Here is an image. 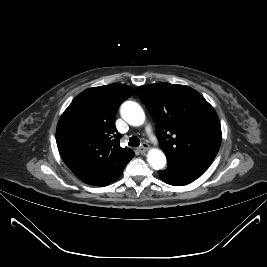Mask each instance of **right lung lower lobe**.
Segmentation results:
<instances>
[{
  "label": "right lung lower lobe",
  "mask_w": 267,
  "mask_h": 267,
  "mask_svg": "<svg viewBox=\"0 0 267 267\" xmlns=\"http://www.w3.org/2000/svg\"><path fill=\"white\" fill-rule=\"evenodd\" d=\"M122 172H123V169H122L119 173H117L116 175H114L111 179H109V180L103 182L102 184H100V185H98V186H107V185H109L110 183L116 181V180L121 176Z\"/></svg>",
  "instance_id": "1"
}]
</instances>
